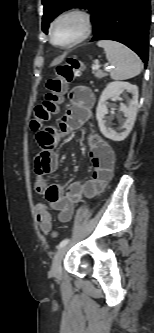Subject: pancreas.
Returning <instances> with one entry per match:
<instances>
[{
    "mask_svg": "<svg viewBox=\"0 0 154 333\" xmlns=\"http://www.w3.org/2000/svg\"><path fill=\"white\" fill-rule=\"evenodd\" d=\"M93 74L95 75V77L97 78H103V77H106L107 76V73L102 71V70H99V69H96L95 70V66H93Z\"/></svg>",
    "mask_w": 154,
    "mask_h": 333,
    "instance_id": "1",
    "label": "pancreas"
}]
</instances>
